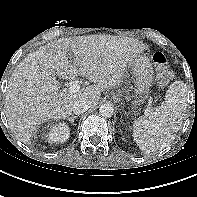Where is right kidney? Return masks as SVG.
<instances>
[{
	"instance_id": "obj_1",
	"label": "right kidney",
	"mask_w": 197,
	"mask_h": 197,
	"mask_svg": "<svg viewBox=\"0 0 197 197\" xmlns=\"http://www.w3.org/2000/svg\"><path fill=\"white\" fill-rule=\"evenodd\" d=\"M70 136V128L66 123L52 125L47 134V141L52 143H63Z\"/></svg>"
}]
</instances>
